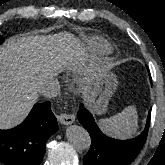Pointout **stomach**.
I'll use <instances>...</instances> for the list:
<instances>
[{"label": "stomach", "instance_id": "obj_1", "mask_svg": "<svg viewBox=\"0 0 165 165\" xmlns=\"http://www.w3.org/2000/svg\"><path fill=\"white\" fill-rule=\"evenodd\" d=\"M118 88L117 76L107 71L93 77L84 92L89 109L96 115L107 111L109 100Z\"/></svg>", "mask_w": 165, "mask_h": 165}]
</instances>
